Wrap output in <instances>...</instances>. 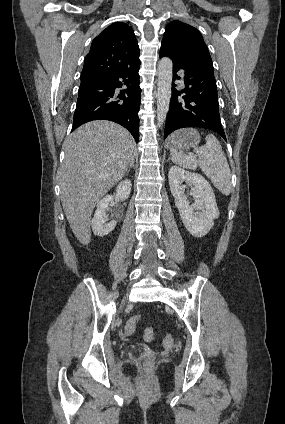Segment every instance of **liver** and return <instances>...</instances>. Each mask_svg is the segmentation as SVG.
<instances>
[{
	"mask_svg": "<svg viewBox=\"0 0 285 424\" xmlns=\"http://www.w3.org/2000/svg\"><path fill=\"white\" fill-rule=\"evenodd\" d=\"M64 151L62 206L75 237L88 245L93 209L126 173L134 158V139L114 122L95 120L76 129L65 141Z\"/></svg>",
	"mask_w": 285,
	"mask_h": 424,
	"instance_id": "1",
	"label": "liver"
}]
</instances>
